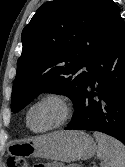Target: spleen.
Wrapping results in <instances>:
<instances>
[{
	"label": "spleen",
	"instance_id": "spleen-1",
	"mask_svg": "<svg viewBox=\"0 0 125 167\" xmlns=\"http://www.w3.org/2000/svg\"><path fill=\"white\" fill-rule=\"evenodd\" d=\"M93 135L98 143L97 156L101 160V167H125V146L100 132Z\"/></svg>",
	"mask_w": 125,
	"mask_h": 167
}]
</instances>
